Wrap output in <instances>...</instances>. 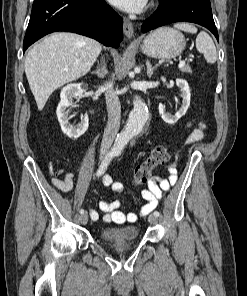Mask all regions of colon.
Listing matches in <instances>:
<instances>
[{
    "label": "colon",
    "instance_id": "obj_1",
    "mask_svg": "<svg viewBox=\"0 0 247 296\" xmlns=\"http://www.w3.org/2000/svg\"><path fill=\"white\" fill-rule=\"evenodd\" d=\"M169 159V151L166 146H157L150 156L140 165H138L134 171V184L141 185L148 181V178L157 166L164 164Z\"/></svg>",
    "mask_w": 247,
    "mask_h": 296
}]
</instances>
